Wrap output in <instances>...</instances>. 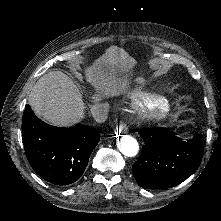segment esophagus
Here are the masks:
<instances>
[{
	"label": "esophagus",
	"instance_id": "1",
	"mask_svg": "<svg viewBox=\"0 0 221 221\" xmlns=\"http://www.w3.org/2000/svg\"><path fill=\"white\" fill-rule=\"evenodd\" d=\"M119 130H120L121 133L126 134L127 131H128V128H127L125 123H121L120 126H119Z\"/></svg>",
	"mask_w": 221,
	"mask_h": 221
}]
</instances>
